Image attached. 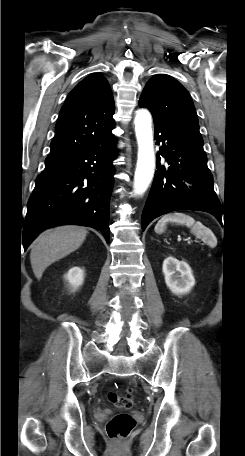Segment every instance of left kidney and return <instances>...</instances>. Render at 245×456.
I'll return each instance as SVG.
<instances>
[{"mask_svg":"<svg viewBox=\"0 0 245 456\" xmlns=\"http://www.w3.org/2000/svg\"><path fill=\"white\" fill-rule=\"evenodd\" d=\"M165 283L172 293L182 295L188 293L195 285V279L190 266L169 256L163 262Z\"/></svg>","mask_w":245,"mask_h":456,"instance_id":"left-kidney-1","label":"left kidney"}]
</instances>
